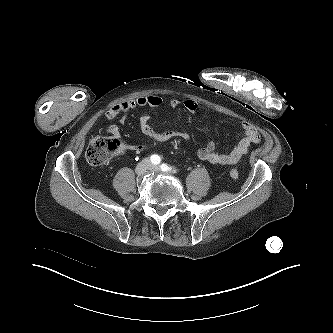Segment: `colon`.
Returning <instances> with one entry per match:
<instances>
[{"instance_id": "colon-1", "label": "colon", "mask_w": 333, "mask_h": 333, "mask_svg": "<svg viewBox=\"0 0 333 333\" xmlns=\"http://www.w3.org/2000/svg\"><path fill=\"white\" fill-rule=\"evenodd\" d=\"M123 150L124 147L119 138L98 136L90 140L86 149V159L91 165L101 166L119 156ZM229 177L238 179V171L232 168L229 171Z\"/></svg>"}]
</instances>
